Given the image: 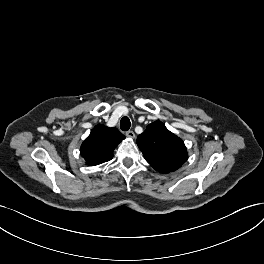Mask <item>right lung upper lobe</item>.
I'll use <instances>...</instances> for the list:
<instances>
[{
    "label": "right lung upper lobe",
    "instance_id": "cb5924a9",
    "mask_svg": "<svg viewBox=\"0 0 264 264\" xmlns=\"http://www.w3.org/2000/svg\"><path fill=\"white\" fill-rule=\"evenodd\" d=\"M125 138L116 128L98 124L81 145V155L88 165H99L113 158L115 147Z\"/></svg>",
    "mask_w": 264,
    "mask_h": 264
}]
</instances>
